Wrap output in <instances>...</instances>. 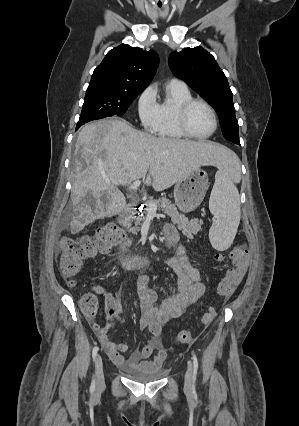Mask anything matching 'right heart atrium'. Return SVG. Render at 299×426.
Listing matches in <instances>:
<instances>
[{"instance_id": "d8ad5b80", "label": "right heart atrium", "mask_w": 299, "mask_h": 426, "mask_svg": "<svg viewBox=\"0 0 299 426\" xmlns=\"http://www.w3.org/2000/svg\"><path fill=\"white\" fill-rule=\"evenodd\" d=\"M137 113L142 126L149 132H155L158 123V103L153 86H148L139 95Z\"/></svg>"}]
</instances>
